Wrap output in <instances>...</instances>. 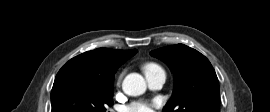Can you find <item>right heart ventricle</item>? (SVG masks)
Instances as JSON below:
<instances>
[{
	"label": "right heart ventricle",
	"mask_w": 270,
	"mask_h": 112,
	"mask_svg": "<svg viewBox=\"0 0 270 112\" xmlns=\"http://www.w3.org/2000/svg\"><path fill=\"white\" fill-rule=\"evenodd\" d=\"M156 70H161V67L155 63H147L144 65L145 73L156 71Z\"/></svg>",
	"instance_id": "right-heart-ventricle-1"
}]
</instances>
